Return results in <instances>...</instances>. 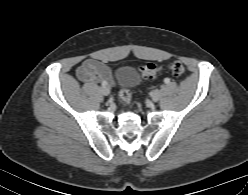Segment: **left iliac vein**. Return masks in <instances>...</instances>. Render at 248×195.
Wrapping results in <instances>:
<instances>
[{"instance_id": "obj_1", "label": "left iliac vein", "mask_w": 248, "mask_h": 195, "mask_svg": "<svg viewBox=\"0 0 248 195\" xmlns=\"http://www.w3.org/2000/svg\"><path fill=\"white\" fill-rule=\"evenodd\" d=\"M161 97V93L159 90H154L152 93H151V98L154 102H157Z\"/></svg>"}]
</instances>
